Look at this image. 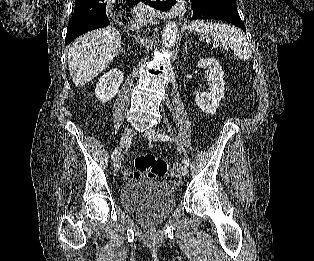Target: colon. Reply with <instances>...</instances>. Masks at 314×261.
<instances>
[{"label": "colon", "instance_id": "obj_1", "mask_svg": "<svg viewBox=\"0 0 314 261\" xmlns=\"http://www.w3.org/2000/svg\"><path fill=\"white\" fill-rule=\"evenodd\" d=\"M170 173L173 176H178L179 167L174 166L169 170L166 161L156 158L150 154L140 155L135 159V171L129 173V177L136 178L145 176L150 179L165 177Z\"/></svg>", "mask_w": 314, "mask_h": 261}]
</instances>
